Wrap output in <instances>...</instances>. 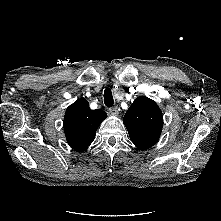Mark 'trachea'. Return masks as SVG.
<instances>
[{
	"label": "trachea",
	"mask_w": 221,
	"mask_h": 221,
	"mask_svg": "<svg viewBox=\"0 0 221 221\" xmlns=\"http://www.w3.org/2000/svg\"><path fill=\"white\" fill-rule=\"evenodd\" d=\"M104 103L107 107H112L114 104L112 91L109 88L104 91Z\"/></svg>",
	"instance_id": "3493384b"
}]
</instances>
